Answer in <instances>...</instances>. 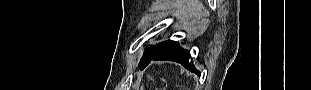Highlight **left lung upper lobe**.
I'll use <instances>...</instances> for the list:
<instances>
[{
	"label": "left lung upper lobe",
	"instance_id": "5c2ea615",
	"mask_svg": "<svg viewBox=\"0 0 311 90\" xmlns=\"http://www.w3.org/2000/svg\"><path fill=\"white\" fill-rule=\"evenodd\" d=\"M155 47H156V46H153V47H150V48H147V49H146V51H145V53H144V55H143V57H142L140 63H141V62H144V61L149 57V55L152 53V51L155 49Z\"/></svg>",
	"mask_w": 311,
	"mask_h": 90
}]
</instances>
